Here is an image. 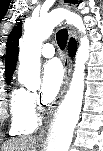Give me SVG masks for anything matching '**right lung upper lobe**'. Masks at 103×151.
<instances>
[{"label":"right lung upper lobe","mask_w":103,"mask_h":151,"mask_svg":"<svg viewBox=\"0 0 103 151\" xmlns=\"http://www.w3.org/2000/svg\"><path fill=\"white\" fill-rule=\"evenodd\" d=\"M22 34V23H18L13 28L7 40V51L5 56V76L6 79H11L15 70L18 57V40Z\"/></svg>","instance_id":"cb5924a9"}]
</instances>
